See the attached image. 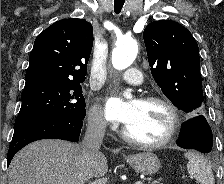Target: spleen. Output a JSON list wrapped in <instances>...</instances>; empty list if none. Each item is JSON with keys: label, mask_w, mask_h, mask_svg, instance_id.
<instances>
[{"label": "spleen", "mask_w": 224, "mask_h": 184, "mask_svg": "<svg viewBox=\"0 0 224 184\" xmlns=\"http://www.w3.org/2000/svg\"><path fill=\"white\" fill-rule=\"evenodd\" d=\"M185 157L188 159L187 170L196 181L200 184H215L211 166L203 156L186 152Z\"/></svg>", "instance_id": "spleen-1"}]
</instances>
